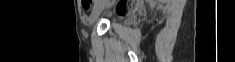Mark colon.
<instances>
[{"label":"colon","instance_id":"colon-1","mask_svg":"<svg viewBox=\"0 0 235 62\" xmlns=\"http://www.w3.org/2000/svg\"><path fill=\"white\" fill-rule=\"evenodd\" d=\"M118 12H119L120 14H122V13L124 12V10H119Z\"/></svg>","mask_w":235,"mask_h":62}]
</instances>
